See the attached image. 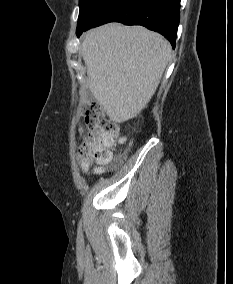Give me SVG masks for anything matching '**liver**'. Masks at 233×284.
Returning <instances> with one entry per match:
<instances>
[{
	"label": "liver",
	"instance_id": "6515ba94",
	"mask_svg": "<svg viewBox=\"0 0 233 284\" xmlns=\"http://www.w3.org/2000/svg\"><path fill=\"white\" fill-rule=\"evenodd\" d=\"M171 51L162 35L142 26L109 23L84 34L88 88L112 121L132 119L147 106Z\"/></svg>",
	"mask_w": 233,
	"mask_h": 284
}]
</instances>
